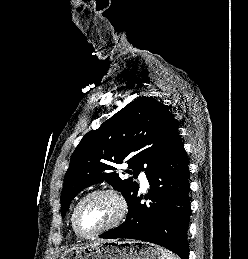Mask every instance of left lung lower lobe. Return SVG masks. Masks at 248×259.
<instances>
[{
  "label": "left lung lower lobe",
  "instance_id": "left-lung-lower-lobe-1",
  "mask_svg": "<svg viewBox=\"0 0 248 259\" xmlns=\"http://www.w3.org/2000/svg\"><path fill=\"white\" fill-rule=\"evenodd\" d=\"M188 162L180 143L147 175L148 196L153 203L141 204L137 195L129 204L126 221L100 235L101 238H130L163 246L189 259L187 229L191 213Z\"/></svg>",
  "mask_w": 248,
  "mask_h": 259
}]
</instances>
